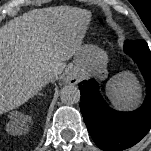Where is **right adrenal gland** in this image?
Masks as SVG:
<instances>
[{
  "label": "right adrenal gland",
  "mask_w": 151,
  "mask_h": 151,
  "mask_svg": "<svg viewBox=\"0 0 151 151\" xmlns=\"http://www.w3.org/2000/svg\"><path fill=\"white\" fill-rule=\"evenodd\" d=\"M37 95H39V96H43V94H42V93H37Z\"/></svg>",
  "instance_id": "2a0ac1e0"
}]
</instances>
